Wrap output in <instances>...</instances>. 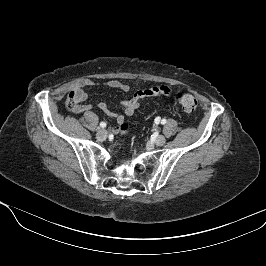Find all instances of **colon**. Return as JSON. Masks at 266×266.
Returning <instances> with one entry per match:
<instances>
[{
  "mask_svg": "<svg viewBox=\"0 0 266 266\" xmlns=\"http://www.w3.org/2000/svg\"><path fill=\"white\" fill-rule=\"evenodd\" d=\"M177 100L180 106L182 107V109L186 112H193L197 108V100L191 94L179 92L177 93ZM66 105L70 110H72L74 106L76 105V95L73 92L69 94L67 101H66ZM119 129L121 133L123 134L126 133L128 130V124L122 123L119 126Z\"/></svg>",
  "mask_w": 266,
  "mask_h": 266,
  "instance_id": "colon-1",
  "label": "colon"
}]
</instances>
